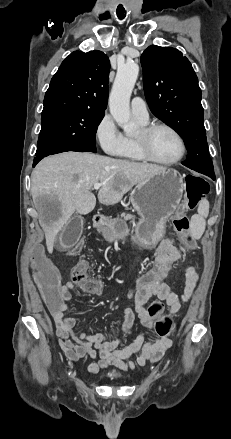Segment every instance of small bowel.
<instances>
[{
    "instance_id": "small-bowel-1",
    "label": "small bowel",
    "mask_w": 231,
    "mask_h": 439,
    "mask_svg": "<svg viewBox=\"0 0 231 439\" xmlns=\"http://www.w3.org/2000/svg\"><path fill=\"white\" fill-rule=\"evenodd\" d=\"M176 255L180 256L179 250L171 241L163 240L156 251L154 262ZM197 281L198 275L195 269L189 267L185 273V286L181 295L172 291L171 283H142L134 291L132 297L134 308L124 307L122 309V319L112 336L103 333L89 335L77 329V319L66 316L68 302L75 290V284L73 282L59 283L57 293L61 295L62 305L58 313H51L59 346L72 361H78L85 357L96 359L97 362L89 366V371L92 373H97L108 366L129 370L136 366H143L148 362H157L171 347L172 341L169 338L154 340L152 337L146 338L143 333H139L132 343L120 348L122 339L117 334L128 333L133 327L136 317H138L143 329L153 332L155 320L164 311V304L167 306L169 314H176L182 305L191 298ZM150 298H157L158 301L146 308ZM133 356L135 358L131 359Z\"/></svg>"
}]
</instances>
